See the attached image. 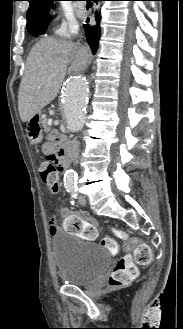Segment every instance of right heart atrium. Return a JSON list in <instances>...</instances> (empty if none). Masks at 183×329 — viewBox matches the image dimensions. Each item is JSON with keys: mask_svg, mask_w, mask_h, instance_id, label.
<instances>
[{"mask_svg": "<svg viewBox=\"0 0 183 329\" xmlns=\"http://www.w3.org/2000/svg\"><path fill=\"white\" fill-rule=\"evenodd\" d=\"M78 32V26L75 22L64 23L57 31L56 35L63 38H71Z\"/></svg>", "mask_w": 183, "mask_h": 329, "instance_id": "d8ad5b80", "label": "right heart atrium"}]
</instances>
